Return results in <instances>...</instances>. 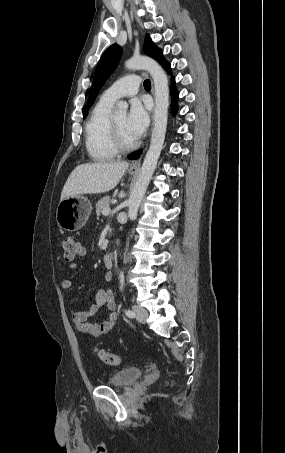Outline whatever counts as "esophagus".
<instances>
[{"label":"esophagus","instance_id":"obj_1","mask_svg":"<svg viewBox=\"0 0 285 453\" xmlns=\"http://www.w3.org/2000/svg\"><path fill=\"white\" fill-rule=\"evenodd\" d=\"M153 96H154V88L152 87V90H151ZM146 150V148H145ZM140 165H141V157L134 160L131 164H130V168L131 169H139L140 168Z\"/></svg>","mask_w":285,"mask_h":453}]
</instances>
